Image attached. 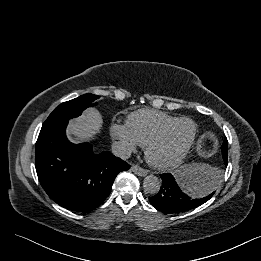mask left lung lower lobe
<instances>
[{
  "label": "left lung lower lobe",
  "mask_w": 261,
  "mask_h": 261,
  "mask_svg": "<svg viewBox=\"0 0 261 261\" xmlns=\"http://www.w3.org/2000/svg\"><path fill=\"white\" fill-rule=\"evenodd\" d=\"M227 153L222 154L225 165ZM160 177L162 179L160 191L150 197L149 201L157 210L164 213H182L200 206L213 196L215 193L213 187L219 179V173L213 172L199 177H180L164 173Z\"/></svg>",
  "instance_id": "0a47b994"
}]
</instances>
